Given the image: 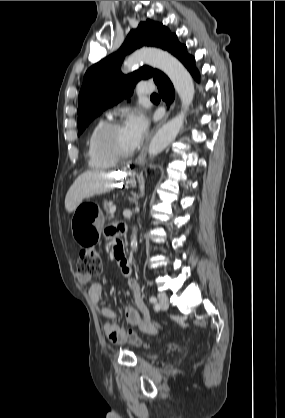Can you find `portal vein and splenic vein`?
<instances>
[{
    "mask_svg": "<svg viewBox=\"0 0 285 418\" xmlns=\"http://www.w3.org/2000/svg\"><path fill=\"white\" fill-rule=\"evenodd\" d=\"M110 215L111 216H113V214L115 213V211H116V206L115 205H112L111 207H110Z\"/></svg>",
    "mask_w": 285,
    "mask_h": 418,
    "instance_id": "portal-vein-and-splenic-vein-1",
    "label": "portal vein and splenic vein"
}]
</instances>
